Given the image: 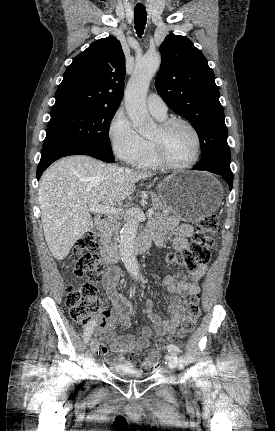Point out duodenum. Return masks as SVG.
Instances as JSON below:
<instances>
[{
  "label": "duodenum",
  "mask_w": 275,
  "mask_h": 431,
  "mask_svg": "<svg viewBox=\"0 0 275 431\" xmlns=\"http://www.w3.org/2000/svg\"><path fill=\"white\" fill-rule=\"evenodd\" d=\"M109 223L107 220H101L98 223V229L100 232H106ZM151 245V237L148 233H145L137 242L136 250L138 253L146 252ZM102 256L108 263H116L119 259L117 249L110 243H105L102 248Z\"/></svg>",
  "instance_id": "obj_1"
}]
</instances>
